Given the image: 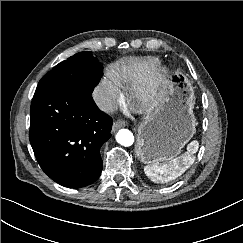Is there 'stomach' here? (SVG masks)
Here are the masks:
<instances>
[{
    "label": "stomach",
    "mask_w": 243,
    "mask_h": 243,
    "mask_svg": "<svg viewBox=\"0 0 243 243\" xmlns=\"http://www.w3.org/2000/svg\"><path fill=\"white\" fill-rule=\"evenodd\" d=\"M194 90L188 79L176 73L160 104L138 126L136 155L145 164L174 159L196 131Z\"/></svg>",
    "instance_id": "0dacf381"
}]
</instances>
